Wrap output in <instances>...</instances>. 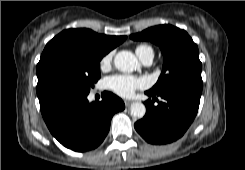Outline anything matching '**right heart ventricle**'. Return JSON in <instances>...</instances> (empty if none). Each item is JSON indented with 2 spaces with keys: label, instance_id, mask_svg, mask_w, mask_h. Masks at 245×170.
Returning a JSON list of instances; mask_svg holds the SVG:
<instances>
[{
  "label": "right heart ventricle",
  "instance_id": "1",
  "mask_svg": "<svg viewBox=\"0 0 245 170\" xmlns=\"http://www.w3.org/2000/svg\"><path fill=\"white\" fill-rule=\"evenodd\" d=\"M135 52L141 60H143L149 56H152V57L154 56V50L152 49L151 46H149L147 44L137 45L135 48Z\"/></svg>",
  "mask_w": 245,
  "mask_h": 170
}]
</instances>
